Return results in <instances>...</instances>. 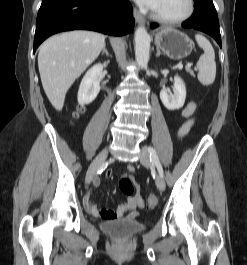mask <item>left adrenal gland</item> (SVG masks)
Returning <instances> with one entry per match:
<instances>
[{
	"mask_svg": "<svg viewBox=\"0 0 247 265\" xmlns=\"http://www.w3.org/2000/svg\"><path fill=\"white\" fill-rule=\"evenodd\" d=\"M161 55L160 50L157 48V53H156V57H159Z\"/></svg>",
	"mask_w": 247,
	"mask_h": 265,
	"instance_id": "left-adrenal-gland-1",
	"label": "left adrenal gland"
}]
</instances>
